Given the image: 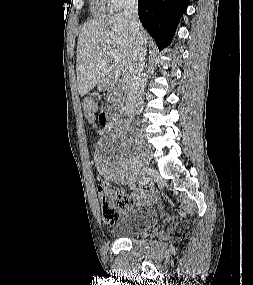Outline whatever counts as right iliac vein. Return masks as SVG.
<instances>
[{
    "label": "right iliac vein",
    "mask_w": 253,
    "mask_h": 285,
    "mask_svg": "<svg viewBox=\"0 0 253 285\" xmlns=\"http://www.w3.org/2000/svg\"><path fill=\"white\" fill-rule=\"evenodd\" d=\"M150 169L147 168L143 173L141 178L139 179V183L140 185L144 186L149 182V173H150Z\"/></svg>",
    "instance_id": "right-iliac-vein-1"
}]
</instances>
